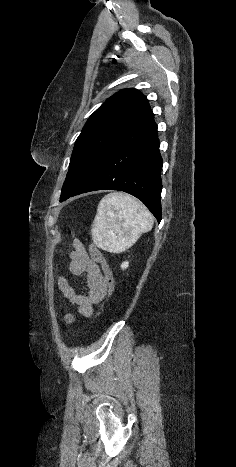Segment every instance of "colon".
Returning a JSON list of instances; mask_svg holds the SVG:
<instances>
[{"instance_id": "1", "label": "colon", "mask_w": 236, "mask_h": 467, "mask_svg": "<svg viewBox=\"0 0 236 467\" xmlns=\"http://www.w3.org/2000/svg\"><path fill=\"white\" fill-rule=\"evenodd\" d=\"M89 253H90L92 259L95 260L97 263H99L101 265V267H102V270H103L104 275H105L106 285H107V288H108V291H109V294L107 296H109L110 293L112 292L113 288H114V278H113L112 271L110 270L106 260L104 259L103 255L101 254V252L93 244L89 245Z\"/></svg>"}]
</instances>
